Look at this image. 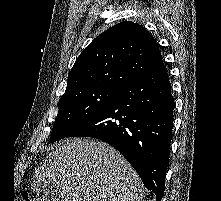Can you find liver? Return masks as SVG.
Instances as JSON below:
<instances>
[{
    "label": "liver",
    "mask_w": 221,
    "mask_h": 201,
    "mask_svg": "<svg viewBox=\"0 0 221 201\" xmlns=\"http://www.w3.org/2000/svg\"><path fill=\"white\" fill-rule=\"evenodd\" d=\"M32 187H55L62 201H142L145 194L138 174L117 150L80 138L51 148Z\"/></svg>",
    "instance_id": "6515ba94"
}]
</instances>
